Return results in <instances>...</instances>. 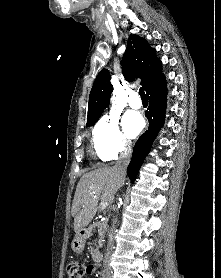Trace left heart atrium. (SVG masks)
Here are the masks:
<instances>
[{
  "mask_svg": "<svg viewBox=\"0 0 221 278\" xmlns=\"http://www.w3.org/2000/svg\"><path fill=\"white\" fill-rule=\"evenodd\" d=\"M144 126V121L140 114L128 112L123 117V128L128 137L134 138L137 136Z\"/></svg>",
  "mask_w": 221,
  "mask_h": 278,
  "instance_id": "39dd6f15",
  "label": "left heart atrium"
}]
</instances>
